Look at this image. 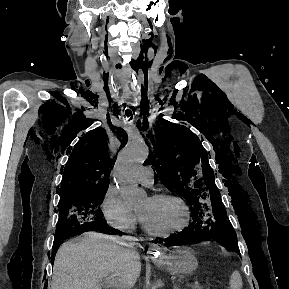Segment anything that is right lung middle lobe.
<instances>
[{
	"mask_svg": "<svg viewBox=\"0 0 289 289\" xmlns=\"http://www.w3.org/2000/svg\"><path fill=\"white\" fill-rule=\"evenodd\" d=\"M106 192L107 189H102L61 197L55 236L62 237L82 228L104 224L100 204Z\"/></svg>",
	"mask_w": 289,
	"mask_h": 289,
	"instance_id": "right-lung-middle-lobe-1",
	"label": "right lung middle lobe"
}]
</instances>
